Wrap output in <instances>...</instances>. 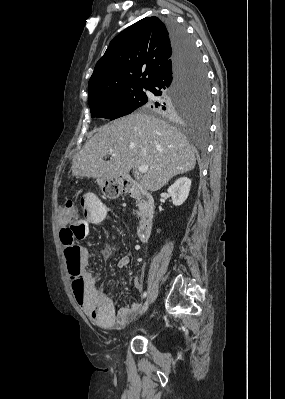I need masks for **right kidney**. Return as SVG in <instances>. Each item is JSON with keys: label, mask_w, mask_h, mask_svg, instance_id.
<instances>
[{"label": "right kidney", "mask_w": 285, "mask_h": 399, "mask_svg": "<svg viewBox=\"0 0 285 399\" xmlns=\"http://www.w3.org/2000/svg\"><path fill=\"white\" fill-rule=\"evenodd\" d=\"M191 187V179L187 177H181L175 181L168 188V194L172 198V202L175 206H180L187 199Z\"/></svg>", "instance_id": "right-kidney-1"}]
</instances>
